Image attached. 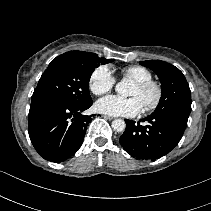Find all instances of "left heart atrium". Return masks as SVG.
Listing matches in <instances>:
<instances>
[{
	"mask_svg": "<svg viewBox=\"0 0 211 211\" xmlns=\"http://www.w3.org/2000/svg\"><path fill=\"white\" fill-rule=\"evenodd\" d=\"M142 104L136 97L122 98L119 96H107L97 101L96 109L104 114L112 116L137 115L142 110Z\"/></svg>",
	"mask_w": 211,
	"mask_h": 211,
	"instance_id": "obj_1",
	"label": "left heart atrium"
}]
</instances>
